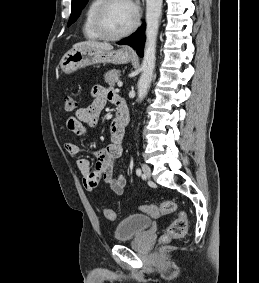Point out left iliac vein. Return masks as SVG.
<instances>
[{"label": "left iliac vein", "instance_id": "left-iliac-vein-1", "mask_svg": "<svg viewBox=\"0 0 259 283\" xmlns=\"http://www.w3.org/2000/svg\"><path fill=\"white\" fill-rule=\"evenodd\" d=\"M142 170L144 173L145 178H150L151 177V169L147 164L142 165Z\"/></svg>", "mask_w": 259, "mask_h": 283}]
</instances>
